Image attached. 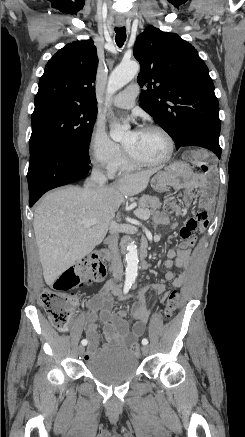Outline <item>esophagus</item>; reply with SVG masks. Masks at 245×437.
<instances>
[{
	"instance_id": "1",
	"label": "esophagus",
	"mask_w": 245,
	"mask_h": 437,
	"mask_svg": "<svg viewBox=\"0 0 245 437\" xmlns=\"http://www.w3.org/2000/svg\"><path fill=\"white\" fill-rule=\"evenodd\" d=\"M116 24H117V26H119V27L124 26V22H117Z\"/></svg>"
}]
</instances>
